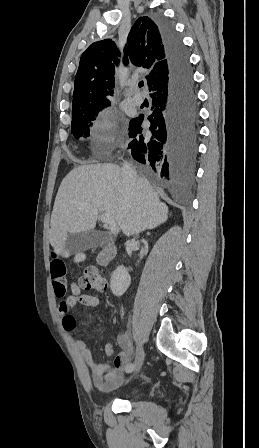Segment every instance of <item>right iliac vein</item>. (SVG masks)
I'll list each match as a JSON object with an SVG mask.
<instances>
[{
    "label": "right iliac vein",
    "mask_w": 259,
    "mask_h": 448,
    "mask_svg": "<svg viewBox=\"0 0 259 448\" xmlns=\"http://www.w3.org/2000/svg\"><path fill=\"white\" fill-rule=\"evenodd\" d=\"M144 350L143 347L139 344L136 349V357H135V368L134 370L137 372L141 369L143 361H144Z\"/></svg>",
    "instance_id": "obj_1"
}]
</instances>
